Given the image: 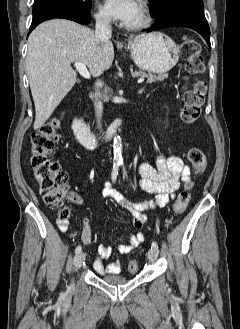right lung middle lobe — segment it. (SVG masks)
Here are the masks:
<instances>
[{
  "label": "right lung middle lobe",
  "mask_w": 240,
  "mask_h": 329,
  "mask_svg": "<svg viewBox=\"0 0 240 329\" xmlns=\"http://www.w3.org/2000/svg\"><path fill=\"white\" fill-rule=\"evenodd\" d=\"M40 6H56L90 12L91 0H35L33 8Z\"/></svg>",
  "instance_id": "1"
}]
</instances>
